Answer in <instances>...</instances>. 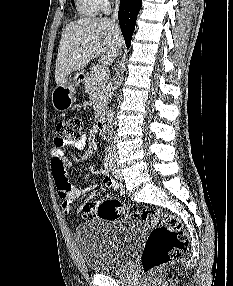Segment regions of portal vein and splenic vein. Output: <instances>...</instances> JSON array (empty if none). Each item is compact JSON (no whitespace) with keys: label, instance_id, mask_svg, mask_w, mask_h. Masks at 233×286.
I'll use <instances>...</instances> for the list:
<instances>
[{"label":"portal vein and splenic vein","instance_id":"1","mask_svg":"<svg viewBox=\"0 0 233 286\" xmlns=\"http://www.w3.org/2000/svg\"><path fill=\"white\" fill-rule=\"evenodd\" d=\"M95 77L98 80H103L106 77V71L103 67H98L95 72Z\"/></svg>","mask_w":233,"mask_h":286}]
</instances>
